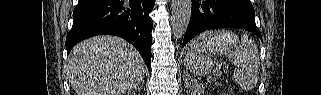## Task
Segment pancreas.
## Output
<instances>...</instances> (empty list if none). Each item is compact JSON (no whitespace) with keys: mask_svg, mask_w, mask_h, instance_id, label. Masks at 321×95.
Segmentation results:
<instances>
[{"mask_svg":"<svg viewBox=\"0 0 321 95\" xmlns=\"http://www.w3.org/2000/svg\"><path fill=\"white\" fill-rule=\"evenodd\" d=\"M196 86H197V87H201V88H204L203 86H200V85H196ZM196 86H195V87H196Z\"/></svg>","mask_w":321,"mask_h":95,"instance_id":"pancreas-1","label":"pancreas"}]
</instances>
